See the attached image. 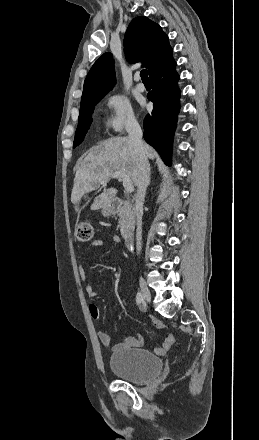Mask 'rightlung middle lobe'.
<instances>
[{
    "mask_svg": "<svg viewBox=\"0 0 259 440\" xmlns=\"http://www.w3.org/2000/svg\"><path fill=\"white\" fill-rule=\"evenodd\" d=\"M102 98L83 103L80 105V113L78 118V127L75 133V140L73 142V148L78 146L84 139L85 134L87 133L89 126L92 122L91 116L93 113V110L95 108V105L101 100Z\"/></svg>",
    "mask_w": 259,
    "mask_h": 440,
    "instance_id": "obj_1",
    "label": "right lung middle lobe"
}]
</instances>
